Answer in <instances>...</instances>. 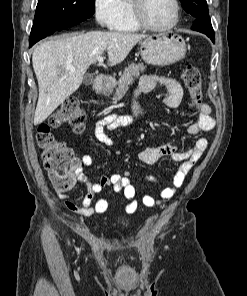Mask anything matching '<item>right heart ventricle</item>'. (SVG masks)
Instances as JSON below:
<instances>
[{"mask_svg": "<svg viewBox=\"0 0 247 296\" xmlns=\"http://www.w3.org/2000/svg\"><path fill=\"white\" fill-rule=\"evenodd\" d=\"M119 18L113 29L118 32H136L139 26L135 23L130 6V0H118Z\"/></svg>", "mask_w": 247, "mask_h": 296, "instance_id": "right-heart-ventricle-1", "label": "right heart ventricle"}]
</instances>
